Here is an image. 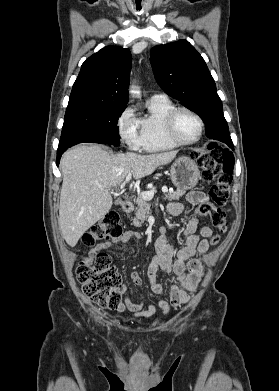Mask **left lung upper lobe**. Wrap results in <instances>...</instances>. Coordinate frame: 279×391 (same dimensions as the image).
I'll return each mask as SVG.
<instances>
[{
  "label": "left lung upper lobe",
  "instance_id": "left-lung-upper-lobe-1",
  "mask_svg": "<svg viewBox=\"0 0 279 391\" xmlns=\"http://www.w3.org/2000/svg\"><path fill=\"white\" fill-rule=\"evenodd\" d=\"M150 57L157 83L199 115L206 125L207 137L233 145L214 79L195 48L180 40L153 47Z\"/></svg>",
  "mask_w": 279,
  "mask_h": 391
}]
</instances>
